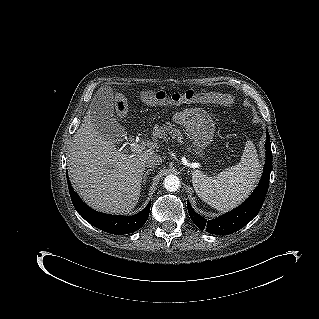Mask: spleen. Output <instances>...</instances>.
Listing matches in <instances>:
<instances>
[{
    "label": "spleen",
    "mask_w": 319,
    "mask_h": 319,
    "mask_svg": "<svg viewBox=\"0 0 319 319\" xmlns=\"http://www.w3.org/2000/svg\"><path fill=\"white\" fill-rule=\"evenodd\" d=\"M257 151L252 141H247L240 162L210 177L202 171L192 173V183L197 195L208 205L228 211L240 204L254 187L260 175Z\"/></svg>",
    "instance_id": "obj_1"
}]
</instances>
